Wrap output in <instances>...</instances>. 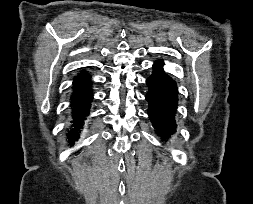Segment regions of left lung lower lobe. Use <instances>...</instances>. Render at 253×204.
<instances>
[{
	"instance_id": "obj_1",
	"label": "left lung lower lobe",
	"mask_w": 253,
	"mask_h": 204,
	"mask_svg": "<svg viewBox=\"0 0 253 204\" xmlns=\"http://www.w3.org/2000/svg\"><path fill=\"white\" fill-rule=\"evenodd\" d=\"M146 83L149 88L145 96L149 103V118L157 134L166 140L175 132L176 128L177 84L164 72L162 61L154 63L153 73Z\"/></svg>"
}]
</instances>
